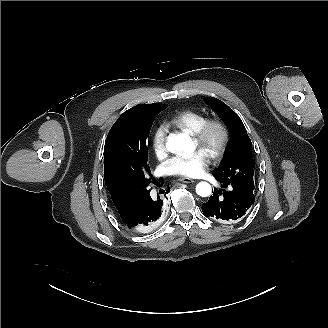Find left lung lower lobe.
Wrapping results in <instances>:
<instances>
[{
    "mask_svg": "<svg viewBox=\"0 0 328 328\" xmlns=\"http://www.w3.org/2000/svg\"><path fill=\"white\" fill-rule=\"evenodd\" d=\"M222 183L223 188H214L209 201L202 204V211L206 217L222 223L231 222L241 218L255 201L253 191L237 184Z\"/></svg>",
    "mask_w": 328,
    "mask_h": 328,
    "instance_id": "obj_1",
    "label": "left lung lower lobe"
}]
</instances>
